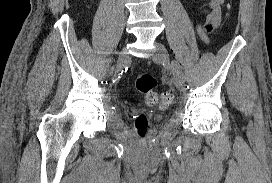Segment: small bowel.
<instances>
[{"label": "small bowel", "mask_w": 272, "mask_h": 183, "mask_svg": "<svg viewBox=\"0 0 272 183\" xmlns=\"http://www.w3.org/2000/svg\"><path fill=\"white\" fill-rule=\"evenodd\" d=\"M224 0H210L209 9L206 12V22L197 25V32L201 39L208 43V34L212 32L219 24L221 18V6Z\"/></svg>", "instance_id": "small-bowel-1"}]
</instances>
